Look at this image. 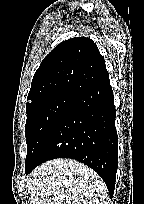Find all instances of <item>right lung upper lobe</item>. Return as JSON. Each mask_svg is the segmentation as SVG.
I'll list each match as a JSON object with an SVG mask.
<instances>
[{
    "label": "right lung upper lobe",
    "mask_w": 144,
    "mask_h": 204,
    "mask_svg": "<svg viewBox=\"0 0 144 204\" xmlns=\"http://www.w3.org/2000/svg\"><path fill=\"white\" fill-rule=\"evenodd\" d=\"M108 78L96 44L85 37L69 39L56 46L35 72L26 108L58 94L76 96Z\"/></svg>",
    "instance_id": "obj_1"
}]
</instances>
